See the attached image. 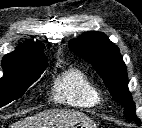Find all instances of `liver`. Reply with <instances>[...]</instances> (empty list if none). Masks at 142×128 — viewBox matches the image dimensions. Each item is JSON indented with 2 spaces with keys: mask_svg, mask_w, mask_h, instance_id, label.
<instances>
[{
  "mask_svg": "<svg viewBox=\"0 0 142 128\" xmlns=\"http://www.w3.org/2000/svg\"><path fill=\"white\" fill-rule=\"evenodd\" d=\"M87 120L90 118L79 111L52 109L18 121L10 128H72Z\"/></svg>",
  "mask_w": 142,
  "mask_h": 128,
  "instance_id": "liver-1",
  "label": "liver"
}]
</instances>
